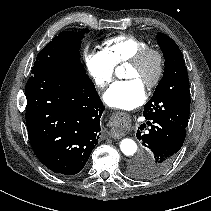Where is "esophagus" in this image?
Instances as JSON below:
<instances>
[{
	"instance_id": "1",
	"label": "esophagus",
	"mask_w": 211,
	"mask_h": 211,
	"mask_svg": "<svg viewBox=\"0 0 211 211\" xmlns=\"http://www.w3.org/2000/svg\"><path fill=\"white\" fill-rule=\"evenodd\" d=\"M118 115H124V114L121 113V112H119ZM113 137L118 139V138H121L122 136H121V135H117V136L115 135V136H113Z\"/></svg>"
}]
</instances>
